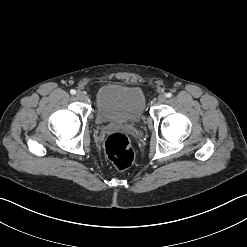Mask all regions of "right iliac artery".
Listing matches in <instances>:
<instances>
[{
    "label": "right iliac artery",
    "instance_id": "1",
    "mask_svg": "<svg viewBox=\"0 0 247 247\" xmlns=\"http://www.w3.org/2000/svg\"><path fill=\"white\" fill-rule=\"evenodd\" d=\"M70 93H71L72 95H75V94H76V91H75L74 89H72V90L70 91Z\"/></svg>",
    "mask_w": 247,
    "mask_h": 247
}]
</instances>
